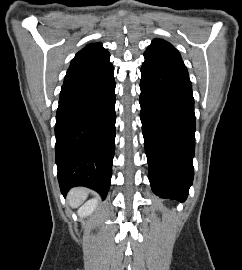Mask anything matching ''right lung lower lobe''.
I'll use <instances>...</instances> for the list:
<instances>
[{
    "instance_id": "right-lung-lower-lobe-1",
    "label": "right lung lower lobe",
    "mask_w": 242,
    "mask_h": 270,
    "mask_svg": "<svg viewBox=\"0 0 242 270\" xmlns=\"http://www.w3.org/2000/svg\"><path fill=\"white\" fill-rule=\"evenodd\" d=\"M110 61L63 84L56 114V164L63 195L86 186L105 198L115 150V80Z\"/></svg>"
}]
</instances>
